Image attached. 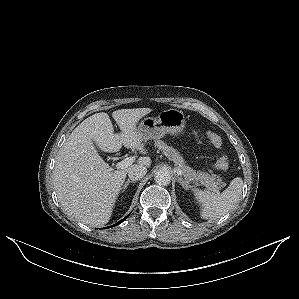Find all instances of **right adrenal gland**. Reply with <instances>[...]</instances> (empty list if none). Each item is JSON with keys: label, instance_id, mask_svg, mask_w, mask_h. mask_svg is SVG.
<instances>
[{"label": "right adrenal gland", "instance_id": "2a0ac1e0", "mask_svg": "<svg viewBox=\"0 0 299 299\" xmlns=\"http://www.w3.org/2000/svg\"><path fill=\"white\" fill-rule=\"evenodd\" d=\"M133 182H134V181H131V180L128 179V180L125 182L124 186L121 188L122 192H124L125 189H127L128 185H129L130 183H133Z\"/></svg>", "mask_w": 299, "mask_h": 299}]
</instances>
